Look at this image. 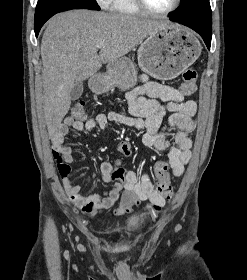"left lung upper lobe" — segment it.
Listing matches in <instances>:
<instances>
[{
	"label": "left lung upper lobe",
	"instance_id": "1",
	"mask_svg": "<svg viewBox=\"0 0 247 280\" xmlns=\"http://www.w3.org/2000/svg\"><path fill=\"white\" fill-rule=\"evenodd\" d=\"M173 16L184 21L212 23L209 0H183L182 6L178 7Z\"/></svg>",
	"mask_w": 247,
	"mask_h": 280
}]
</instances>
